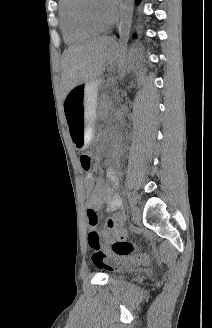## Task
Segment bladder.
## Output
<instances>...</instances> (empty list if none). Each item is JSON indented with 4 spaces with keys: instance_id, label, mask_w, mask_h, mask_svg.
Returning a JSON list of instances; mask_svg holds the SVG:
<instances>
[{
    "instance_id": "31cf9c89",
    "label": "bladder",
    "mask_w": 212,
    "mask_h": 328,
    "mask_svg": "<svg viewBox=\"0 0 212 328\" xmlns=\"http://www.w3.org/2000/svg\"><path fill=\"white\" fill-rule=\"evenodd\" d=\"M110 277L112 279H122V278H124V275H122L120 273H113V274L110 275Z\"/></svg>"
}]
</instances>
